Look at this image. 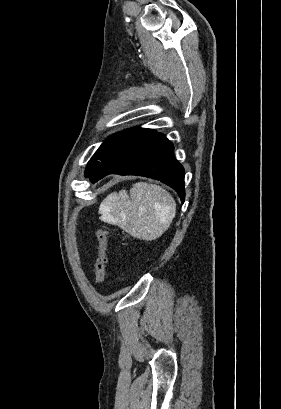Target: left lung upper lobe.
<instances>
[{
  "label": "left lung upper lobe",
  "instance_id": "1",
  "mask_svg": "<svg viewBox=\"0 0 281 409\" xmlns=\"http://www.w3.org/2000/svg\"><path fill=\"white\" fill-rule=\"evenodd\" d=\"M155 131L146 128H132L109 137L96 151L86 166L85 176L91 177L113 157L139 143Z\"/></svg>",
  "mask_w": 281,
  "mask_h": 409
}]
</instances>
